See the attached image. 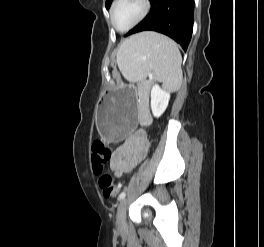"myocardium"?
I'll return each instance as SVG.
<instances>
[{
  "instance_id": "1",
  "label": "myocardium",
  "mask_w": 264,
  "mask_h": 247,
  "mask_svg": "<svg viewBox=\"0 0 264 247\" xmlns=\"http://www.w3.org/2000/svg\"><path fill=\"white\" fill-rule=\"evenodd\" d=\"M120 2V0H114L112 2V5L110 7V23L112 25V27L117 30L118 32H126L131 30L132 28H134L135 26H137L140 22H142L146 16L148 15V13L150 12L151 9V2L150 0H141L142 3V11L140 13V15L138 16V18L132 23L130 24L128 27L126 28H118L115 23H114V19H113V15H114V10L116 5Z\"/></svg>"
}]
</instances>
